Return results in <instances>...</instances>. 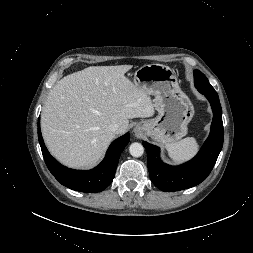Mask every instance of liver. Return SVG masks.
Instances as JSON below:
<instances>
[{"instance_id":"6515ba94","label":"liver","mask_w":253,"mask_h":253,"mask_svg":"<svg viewBox=\"0 0 253 253\" xmlns=\"http://www.w3.org/2000/svg\"><path fill=\"white\" fill-rule=\"evenodd\" d=\"M132 65L90 66L65 76L50 90L41 113L42 136L50 153L73 168L95 165L129 119L154 114L150 95L125 73ZM119 125L117 133L108 129Z\"/></svg>"}]
</instances>
